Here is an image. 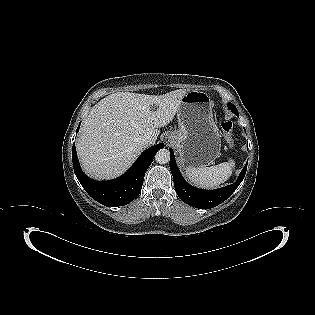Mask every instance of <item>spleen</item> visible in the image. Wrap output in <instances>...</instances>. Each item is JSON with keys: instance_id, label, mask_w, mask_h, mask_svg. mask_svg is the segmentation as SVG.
I'll list each match as a JSON object with an SVG mask.
<instances>
[{"instance_id": "3e777b00", "label": "spleen", "mask_w": 315, "mask_h": 315, "mask_svg": "<svg viewBox=\"0 0 315 315\" xmlns=\"http://www.w3.org/2000/svg\"><path fill=\"white\" fill-rule=\"evenodd\" d=\"M234 166L235 162L230 160L216 166L189 167L185 173L187 178L199 187L216 188L230 178Z\"/></svg>"}]
</instances>
